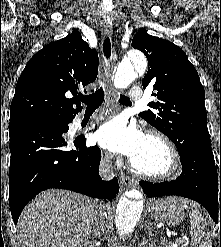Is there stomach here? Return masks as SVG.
<instances>
[{
	"mask_svg": "<svg viewBox=\"0 0 221 247\" xmlns=\"http://www.w3.org/2000/svg\"><path fill=\"white\" fill-rule=\"evenodd\" d=\"M185 200L167 197L154 201L150 205L151 217L167 225L175 226L185 218Z\"/></svg>",
	"mask_w": 221,
	"mask_h": 247,
	"instance_id": "0dacf381",
	"label": "stomach"
}]
</instances>
